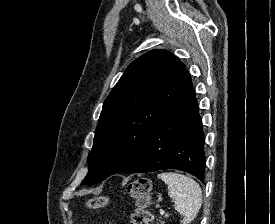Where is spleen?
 Here are the masks:
<instances>
[{
	"mask_svg": "<svg viewBox=\"0 0 275 224\" xmlns=\"http://www.w3.org/2000/svg\"><path fill=\"white\" fill-rule=\"evenodd\" d=\"M158 178L168 185V195L175 201V209L182 215V224L193 221L202 205V191L199 184L182 174L164 172Z\"/></svg>",
	"mask_w": 275,
	"mask_h": 224,
	"instance_id": "spleen-1",
	"label": "spleen"
}]
</instances>
